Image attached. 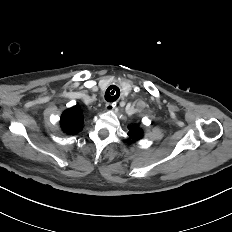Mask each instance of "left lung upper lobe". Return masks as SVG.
Listing matches in <instances>:
<instances>
[{"mask_svg": "<svg viewBox=\"0 0 232 232\" xmlns=\"http://www.w3.org/2000/svg\"><path fill=\"white\" fill-rule=\"evenodd\" d=\"M128 136H129V141L130 142H135L139 139L142 138L143 136V132L140 128H138L137 126L133 125V126H129V132H128Z\"/></svg>", "mask_w": 232, "mask_h": 232, "instance_id": "1", "label": "left lung upper lobe"}]
</instances>
